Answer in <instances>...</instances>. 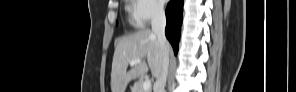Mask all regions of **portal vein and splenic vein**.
Instances as JSON below:
<instances>
[{
	"label": "portal vein and splenic vein",
	"mask_w": 296,
	"mask_h": 92,
	"mask_svg": "<svg viewBox=\"0 0 296 92\" xmlns=\"http://www.w3.org/2000/svg\"><path fill=\"white\" fill-rule=\"evenodd\" d=\"M141 63L140 59H134L132 61H130V65L134 66L135 64H139ZM151 88V81L149 79H146L143 83V90H148Z\"/></svg>",
	"instance_id": "portal-vein-and-splenic-vein-1"
}]
</instances>
